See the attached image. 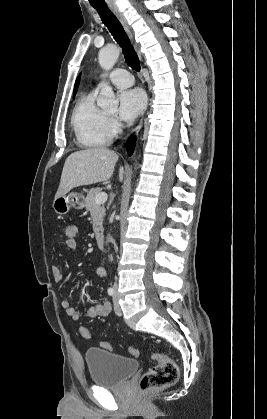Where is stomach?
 <instances>
[{
	"instance_id": "1",
	"label": "stomach",
	"mask_w": 267,
	"mask_h": 419,
	"mask_svg": "<svg viewBox=\"0 0 267 419\" xmlns=\"http://www.w3.org/2000/svg\"><path fill=\"white\" fill-rule=\"evenodd\" d=\"M85 199L83 194L71 192L67 196L62 195L55 197L52 207L56 214L65 215L69 212L70 208H75L77 210L83 209L86 204Z\"/></svg>"
}]
</instances>
